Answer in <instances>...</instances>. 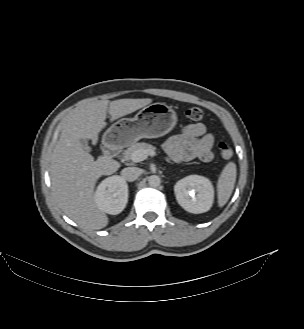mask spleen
<instances>
[{
    "label": "spleen",
    "instance_id": "1",
    "mask_svg": "<svg viewBox=\"0 0 304 329\" xmlns=\"http://www.w3.org/2000/svg\"><path fill=\"white\" fill-rule=\"evenodd\" d=\"M237 169L234 162H229L223 168L217 183L218 205L224 206L229 200L236 182Z\"/></svg>",
    "mask_w": 304,
    "mask_h": 329
}]
</instances>
